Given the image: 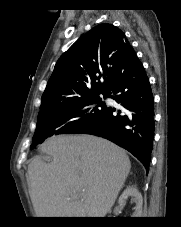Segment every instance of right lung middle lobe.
<instances>
[{
    "label": "right lung middle lobe",
    "instance_id": "1",
    "mask_svg": "<svg viewBox=\"0 0 181 227\" xmlns=\"http://www.w3.org/2000/svg\"><path fill=\"white\" fill-rule=\"evenodd\" d=\"M101 94L108 97V92H101L40 110L30 148H35L47 137L78 133L96 122L107 108Z\"/></svg>",
    "mask_w": 181,
    "mask_h": 227
}]
</instances>
